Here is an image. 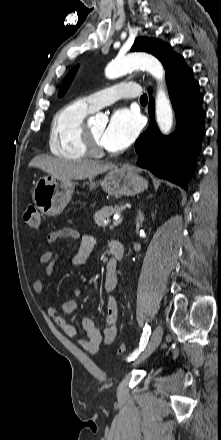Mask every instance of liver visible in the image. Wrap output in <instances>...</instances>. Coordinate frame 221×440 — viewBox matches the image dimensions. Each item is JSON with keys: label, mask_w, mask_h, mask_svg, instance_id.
Masks as SVG:
<instances>
[{"label": "liver", "mask_w": 221, "mask_h": 440, "mask_svg": "<svg viewBox=\"0 0 221 440\" xmlns=\"http://www.w3.org/2000/svg\"><path fill=\"white\" fill-rule=\"evenodd\" d=\"M29 167H37L61 180H82L102 174L115 166L110 163L75 162L46 155L34 157Z\"/></svg>", "instance_id": "1"}]
</instances>
